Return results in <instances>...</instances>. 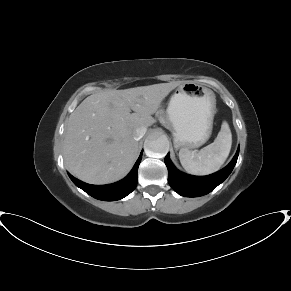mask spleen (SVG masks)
I'll return each mask as SVG.
<instances>
[{
    "mask_svg": "<svg viewBox=\"0 0 291 291\" xmlns=\"http://www.w3.org/2000/svg\"><path fill=\"white\" fill-rule=\"evenodd\" d=\"M232 145V134L229 125L224 121L221 130L213 143L199 152L182 148L179 159L183 168L194 175H208L220 169L226 161Z\"/></svg>",
    "mask_w": 291,
    "mask_h": 291,
    "instance_id": "obj_1",
    "label": "spleen"
}]
</instances>
